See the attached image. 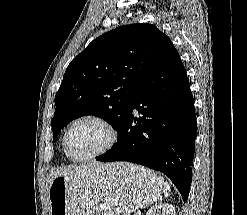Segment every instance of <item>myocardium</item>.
<instances>
[{"label":"myocardium","instance_id":"obj_1","mask_svg":"<svg viewBox=\"0 0 247 215\" xmlns=\"http://www.w3.org/2000/svg\"><path fill=\"white\" fill-rule=\"evenodd\" d=\"M82 121H92V122L99 124L107 132L108 138H107V141L104 144V146L101 149H99L98 151H96L90 155L84 156V157H74L68 151V146H67L68 135H69L71 129L76 124H78ZM116 141H117L116 129L107 119L103 118L102 116L96 115V114H85V115L77 117L76 119H74L69 124V126L67 127V129L64 132L62 144H63L64 152L68 158H70L73 161L81 162V161L96 159V158H99V157L105 155L107 152H109L113 148Z\"/></svg>","mask_w":247,"mask_h":215}]
</instances>
